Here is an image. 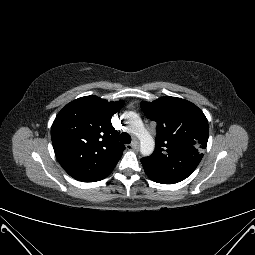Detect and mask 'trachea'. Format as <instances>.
Masks as SVG:
<instances>
[{
  "mask_svg": "<svg viewBox=\"0 0 255 255\" xmlns=\"http://www.w3.org/2000/svg\"><path fill=\"white\" fill-rule=\"evenodd\" d=\"M120 141L124 144H130L131 143V136L128 133H121L120 135Z\"/></svg>",
  "mask_w": 255,
  "mask_h": 255,
  "instance_id": "3493384b",
  "label": "trachea"
}]
</instances>
